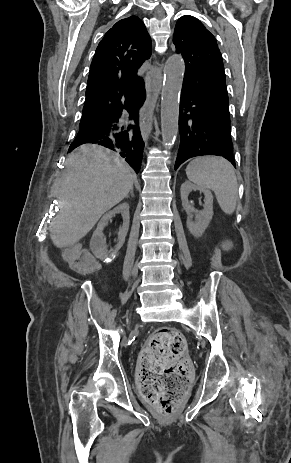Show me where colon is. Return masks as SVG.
<instances>
[{"label": "colon", "mask_w": 291, "mask_h": 463, "mask_svg": "<svg viewBox=\"0 0 291 463\" xmlns=\"http://www.w3.org/2000/svg\"><path fill=\"white\" fill-rule=\"evenodd\" d=\"M64 259L78 273L86 274L98 269L92 255L78 245L66 249ZM186 350L187 341L180 332L161 328L152 335L140 355L141 394L165 417L175 412L190 383Z\"/></svg>", "instance_id": "obj_1"}]
</instances>
